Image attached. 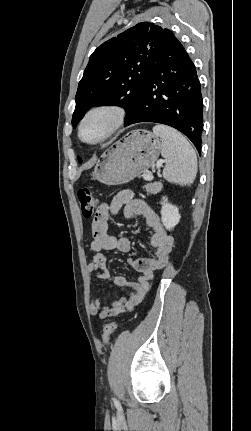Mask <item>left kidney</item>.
<instances>
[{
    "label": "left kidney",
    "instance_id": "5707ae66",
    "mask_svg": "<svg viewBox=\"0 0 251 431\" xmlns=\"http://www.w3.org/2000/svg\"><path fill=\"white\" fill-rule=\"evenodd\" d=\"M161 220L167 230H172L180 221L181 215L179 208L168 202L166 196L162 197L161 201Z\"/></svg>",
    "mask_w": 251,
    "mask_h": 431
}]
</instances>
